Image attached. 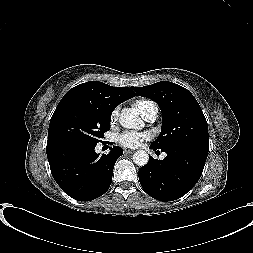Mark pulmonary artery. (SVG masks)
I'll return each mask as SVG.
<instances>
[{
	"instance_id": "e3ab8cb5",
	"label": "pulmonary artery",
	"mask_w": 253,
	"mask_h": 253,
	"mask_svg": "<svg viewBox=\"0 0 253 253\" xmlns=\"http://www.w3.org/2000/svg\"><path fill=\"white\" fill-rule=\"evenodd\" d=\"M158 105L152 101H147L141 108L142 117L148 122H154L158 117Z\"/></svg>"
}]
</instances>
